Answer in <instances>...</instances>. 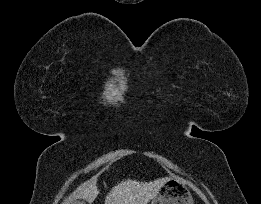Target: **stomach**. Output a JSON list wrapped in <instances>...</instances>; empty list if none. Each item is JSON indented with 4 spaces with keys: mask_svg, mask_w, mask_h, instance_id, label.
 I'll list each match as a JSON object with an SVG mask.
<instances>
[{
    "mask_svg": "<svg viewBox=\"0 0 261 204\" xmlns=\"http://www.w3.org/2000/svg\"><path fill=\"white\" fill-rule=\"evenodd\" d=\"M151 204H194V201L186 183L173 177L160 188Z\"/></svg>",
    "mask_w": 261,
    "mask_h": 204,
    "instance_id": "obj_1",
    "label": "stomach"
}]
</instances>
